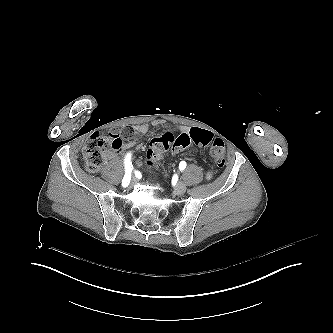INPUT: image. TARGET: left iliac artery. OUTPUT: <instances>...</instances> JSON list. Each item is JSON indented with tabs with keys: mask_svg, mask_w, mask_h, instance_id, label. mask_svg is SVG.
I'll use <instances>...</instances> for the list:
<instances>
[{
	"mask_svg": "<svg viewBox=\"0 0 333 333\" xmlns=\"http://www.w3.org/2000/svg\"><path fill=\"white\" fill-rule=\"evenodd\" d=\"M179 168L180 170H184L186 168V162L182 161L180 164H179Z\"/></svg>",
	"mask_w": 333,
	"mask_h": 333,
	"instance_id": "obj_1",
	"label": "left iliac artery"
}]
</instances>
